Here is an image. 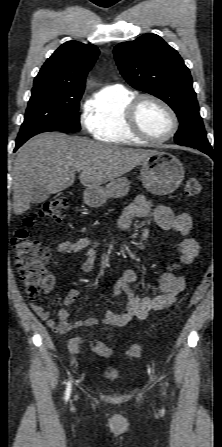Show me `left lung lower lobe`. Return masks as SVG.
<instances>
[{
    "label": "left lung lower lobe",
    "instance_id": "left-lung-lower-lobe-1",
    "mask_svg": "<svg viewBox=\"0 0 222 447\" xmlns=\"http://www.w3.org/2000/svg\"><path fill=\"white\" fill-rule=\"evenodd\" d=\"M200 151L208 154L209 156H213V151H212V147L206 148V147H197Z\"/></svg>",
    "mask_w": 222,
    "mask_h": 447
}]
</instances>
